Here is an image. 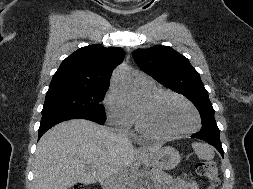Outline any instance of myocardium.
<instances>
[{
    "instance_id": "obj_1",
    "label": "myocardium",
    "mask_w": 253,
    "mask_h": 189,
    "mask_svg": "<svg viewBox=\"0 0 253 189\" xmlns=\"http://www.w3.org/2000/svg\"><path fill=\"white\" fill-rule=\"evenodd\" d=\"M163 97H173L185 103L194 113V116H195L194 126L186 131L179 132V133H174V134L159 133L148 127L145 121L144 113L142 111H139L138 116H137V126H138L139 131L142 134H144L145 136L149 138L157 139V140H174V139L183 138L185 136L191 135L200 128L201 118H200V114L197 108L188 99H186L185 97H183L182 95L178 93L171 92V91H160L145 101L146 108L153 107Z\"/></svg>"
}]
</instances>
